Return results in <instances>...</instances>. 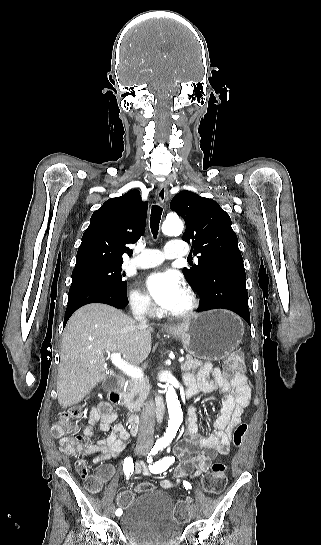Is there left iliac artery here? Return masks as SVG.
<instances>
[{
  "label": "left iliac artery",
  "mask_w": 321,
  "mask_h": 545,
  "mask_svg": "<svg viewBox=\"0 0 321 545\" xmlns=\"http://www.w3.org/2000/svg\"><path fill=\"white\" fill-rule=\"evenodd\" d=\"M163 449V446H154L147 457V462L152 463L153 458L152 456L156 455L160 450ZM175 458L172 457H164L163 459L155 462L154 464L149 465V469L152 473H161L165 471L172 463H174ZM183 486L185 489H191V484L187 481L183 482Z\"/></svg>",
  "instance_id": "1"
}]
</instances>
